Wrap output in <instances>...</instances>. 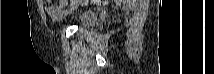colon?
Listing matches in <instances>:
<instances>
[{
    "mask_svg": "<svg viewBox=\"0 0 214 74\" xmlns=\"http://www.w3.org/2000/svg\"><path fill=\"white\" fill-rule=\"evenodd\" d=\"M47 2H50V1H47ZM60 2L64 3L65 1H60ZM93 2L96 4H99V5H105V4L109 3L108 1H102V0H94Z\"/></svg>",
    "mask_w": 214,
    "mask_h": 74,
    "instance_id": "obj_1",
    "label": "colon"
}]
</instances>
